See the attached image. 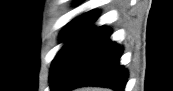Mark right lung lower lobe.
<instances>
[{
    "mask_svg": "<svg viewBox=\"0 0 173 91\" xmlns=\"http://www.w3.org/2000/svg\"><path fill=\"white\" fill-rule=\"evenodd\" d=\"M84 25L68 45L53 75L51 91H68L85 85L124 91L128 71L119 64L122 47L110 41L111 30Z\"/></svg>",
    "mask_w": 173,
    "mask_h": 91,
    "instance_id": "right-lung-lower-lobe-1",
    "label": "right lung lower lobe"
}]
</instances>
